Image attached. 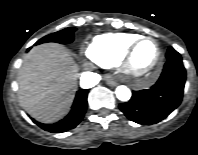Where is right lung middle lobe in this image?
<instances>
[{
    "label": "right lung middle lobe",
    "mask_w": 198,
    "mask_h": 155,
    "mask_svg": "<svg viewBox=\"0 0 198 155\" xmlns=\"http://www.w3.org/2000/svg\"><path fill=\"white\" fill-rule=\"evenodd\" d=\"M76 28H66L64 30L58 31L56 33L47 35L40 39L35 45L45 43V42H57V43H70L73 41V35Z\"/></svg>",
    "instance_id": "obj_1"
}]
</instances>
